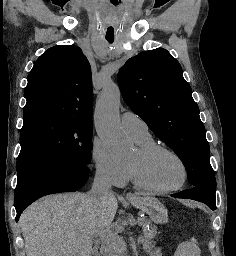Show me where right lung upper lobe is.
Listing matches in <instances>:
<instances>
[{
	"label": "right lung upper lobe",
	"instance_id": "1",
	"mask_svg": "<svg viewBox=\"0 0 236 256\" xmlns=\"http://www.w3.org/2000/svg\"><path fill=\"white\" fill-rule=\"evenodd\" d=\"M25 96L23 120L56 117L92 122L91 67L82 50L59 45L45 51L28 75Z\"/></svg>",
	"mask_w": 236,
	"mask_h": 256
}]
</instances>
